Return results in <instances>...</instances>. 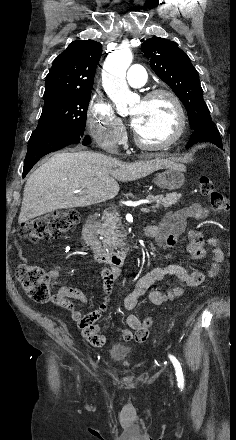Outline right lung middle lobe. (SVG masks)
<instances>
[{"label":"right lung middle lobe","instance_id":"obj_1","mask_svg":"<svg viewBox=\"0 0 236 440\" xmlns=\"http://www.w3.org/2000/svg\"><path fill=\"white\" fill-rule=\"evenodd\" d=\"M90 96L91 93L78 94L70 98L45 103L35 130H76L84 133Z\"/></svg>","mask_w":236,"mask_h":440}]
</instances>
